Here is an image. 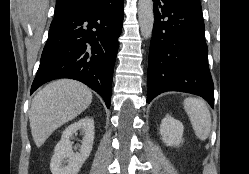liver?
<instances>
[{"instance_id": "liver-1", "label": "liver", "mask_w": 249, "mask_h": 174, "mask_svg": "<svg viewBox=\"0 0 249 174\" xmlns=\"http://www.w3.org/2000/svg\"><path fill=\"white\" fill-rule=\"evenodd\" d=\"M91 101V90L79 81L60 79L47 84L34 96L29 113L36 146L41 147L57 128L85 111Z\"/></svg>"}]
</instances>
